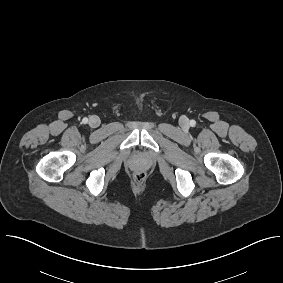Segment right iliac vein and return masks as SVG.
<instances>
[{"label":"right iliac vein","instance_id":"63e3f726","mask_svg":"<svg viewBox=\"0 0 283 283\" xmlns=\"http://www.w3.org/2000/svg\"><path fill=\"white\" fill-rule=\"evenodd\" d=\"M88 123L90 127L96 128L100 125V119L97 116H91Z\"/></svg>","mask_w":283,"mask_h":283}]
</instances>
